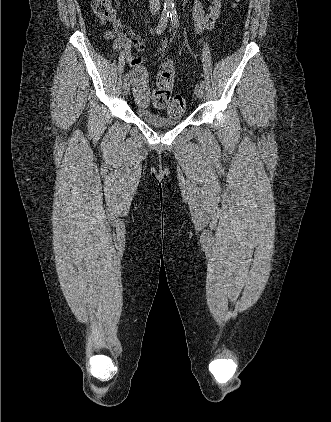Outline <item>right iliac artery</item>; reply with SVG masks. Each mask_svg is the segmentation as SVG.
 Wrapping results in <instances>:
<instances>
[{"label":"right iliac artery","instance_id":"obj_1","mask_svg":"<svg viewBox=\"0 0 331 422\" xmlns=\"http://www.w3.org/2000/svg\"><path fill=\"white\" fill-rule=\"evenodd\" d=\"M168 18H169V11H164L162 13L161 19H160V21H159V23L156 27V33L157 34H161L165 30L167 23H168ZM128 79H129V75L125 74L124 82H127Z\"/></svg>","mask_w":331,"mask_h":422}]
</instances>
